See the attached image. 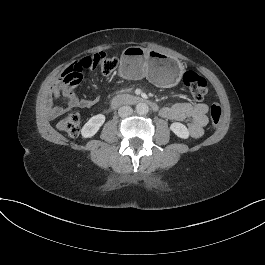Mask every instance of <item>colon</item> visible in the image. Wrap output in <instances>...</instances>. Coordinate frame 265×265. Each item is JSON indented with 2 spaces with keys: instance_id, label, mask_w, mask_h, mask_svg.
Segmentation results:
<instances>
[{
  "instance_id": "colon-1",
  "label": "colon",
  "mask_w": 265,
  "mask_h": 265,
  "mask_svg": "<svg viewBox=\"0 0 265 265\" xmlns=\"http://www.w3.org/2000/svg\"><path fill=\"white\" fill-rule=\"evenodd\" d=\"M98 66L104 75H110L116 70L117 60L113 57H107L102 52L84 57L63 72L60 79L61 88L71 89L76 87L82 80L83 71ZM183 82L196 100L203 99L207 94V81L196 72L186 71L183 75ZM210 117L211 125L216 128L221 120V108L218 104L215 103L211 106ZM58 128L69 136H76L80 130V114L76 111L70 112L58 121Z\"/></svg>"
}]
</instances>
